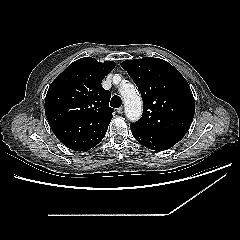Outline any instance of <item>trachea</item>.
I'll list each match as a JSON object with an SVG mask.
<instances>
[{
    "label": "trachea",
    "mask_w": 240,
    "mask_h": 240,
    "mask_svg": "<svg viewBox=\"0 0 240 240\" xmlns=\"http://www.w3.org/2000/svg\"><path fill=\"white\" fill-rule=\"evenodd\" d=\"M122 104V99L115 95L112 97L111 101H110V106L113 108H119Z\"/></svg>",
    "instance_id": "trachea-1"
}]
</instances>
